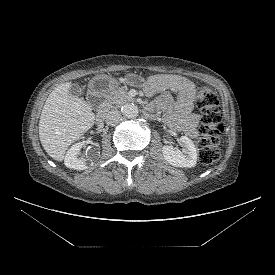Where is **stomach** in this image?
<instances>
[{"instance_id":"0dacf381","label":"stomach","mask_w":275,"mask_h":275,"mask_svg":"<svg viewBox=\"0 0 275 275\" xmlns=\"http://www.w3.org/2000/svg\"><path fill=\"white\" fill-rule=\"evenodd\" d=\"M117 81L107 75H97L89 83V88L95 95H108L116 90Z\"/></svg>"}]
</instances>
